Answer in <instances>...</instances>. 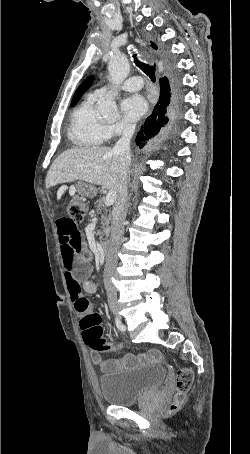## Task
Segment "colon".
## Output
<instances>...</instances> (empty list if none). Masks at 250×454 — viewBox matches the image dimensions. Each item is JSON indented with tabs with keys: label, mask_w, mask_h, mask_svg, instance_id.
<instances>
[{
	"label": "colon",
	"mask_w": 250,
	"mask_h": 454,
	"mask_svg": "<svg viewBox=\"0 0 250 454\" xmlns=\"http://www.w3.org/2000/svg\"><path fill=\"white\" fill-rule=\"evenodd\" d=\"M69 220L78 225L82 223L88 212V205L80 198H73L67 207ZM80 327L84 341L92 351L106 352L113 349L104 338L101 326V316L95 311H87L80 317ZM193 383V372L189 369H180L176 375V394L169 411L175 412L183 403L187 392Z\"/></svg>",
	"instance_id": "5ec220e1"
}]
</instances>
